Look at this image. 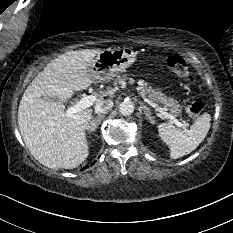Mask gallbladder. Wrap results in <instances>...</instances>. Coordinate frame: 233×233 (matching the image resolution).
Listing matches in <instances>:
<instances>
[{
	"mask_svg": "<svg viewBox=\"0 0 233 233\" xmlns=\"http://www.w3.org/2000/svg\"><path fill=\"white\" fill-rule=\"evenodd\" d=\"M51 99V101H54V102H58V101H60L58 98H50Z\"/></svg>",
	"mask_w": 233,
	"mask_h": 233,
	"instance_id": "obj_1",
	"label": "gallbladder"
}]
</instances>
